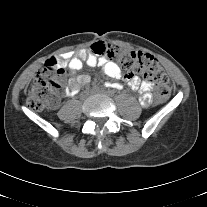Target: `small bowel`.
<instances>
[{"instance_id": "small-bowel-1", "label": "small bowel", "mask_w": 207, "mask_h": 207, "mask_svg": "<svg viewBox=\"0 0 207 207\" xmlns=\"http://www.w3.org/2000/svg\"><path fill=\"white\" fill-rule=\"evenodd\" d=\"M99 43L103 42H96L95 44ZM56 59L59 65L66 71H78L83 67L84 64H86L90 67H100L103 73L109 78L119 79L121 77H124L122 70L117 65V63L109 60L104 55L95 54L92 50V47L91 51L81 49L76 53L65 52L58 55ZM125 79L128 81V84L132 90L141 92V96L139 98L141 105L144 107L149 106L152 103V94L150 92L152 89V85L147 84L146 82H141L137 77ZM89 81L90 76L87 74H80L75 77H70L68 84L65 86L64 89L65 95H76L83 86L89 83ZM104 88L106 90H112L115 92H123L125 90V85L116 81H106L104 83Z\"/></svg>"}]
</instances>
